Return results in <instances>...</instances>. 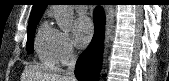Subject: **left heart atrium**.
<instances>
[{"label": "left heart atrium", "instance_id": "39dd6f15", "mask_svg": "<svg viewBox=\"0 0 169 81\" xmlns=\"http://www.w3.org/2000/svg\"><path fill=\"white\" fill-rule=\"evenodd\" d=\"M92 23L86 16H79L73 24V36L78 46H85L92 36Z\"/></svg>", "mask_w": 169, "mask_h": 81}]
</instances>
